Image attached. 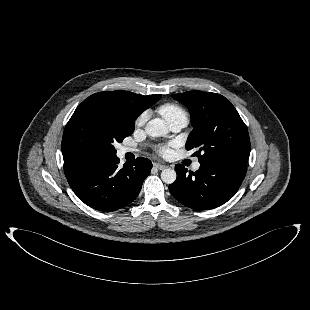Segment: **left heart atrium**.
Returning a JSON list of instances; mask_svg holds the SVG:
<instances>
[{
    "label": "left heart atrium",
    "instance_id": "1",
    "mask_svg": "<svg viewBox=\"0 0 310 310\" xmlns=\"http://www.w3.org/2000/svg\"><path fill=\"white\" fill-rule=\"evenodd\" d=\"M157 151L162 156H168L170 154V148L166 145L159 146Z\"/></svg>",
    "mask_w": 310,
    "mask_h": 310
}]
</instances>
